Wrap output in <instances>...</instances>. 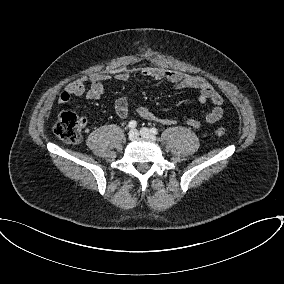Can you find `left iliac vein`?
Listing matches in <instances>:
<instances>
[{
    "mask_svg": "<svg viewBox=\"0 0 284 284\" xmlns=\"http://www.w3.org/2000/svg\"><path fill=\"white\" fill-rule=\"evenodd\" d=\"M140 135L144 138L150 139V140H155L156 137L154 134L151 133V131L148 128H141L140 130Z\"/></svg>",
    "mask_w": 284,
    "mask_h": 284,
    "instance_id": "obj_1",
    "label": "left iliac vein"
}]
</instances>
